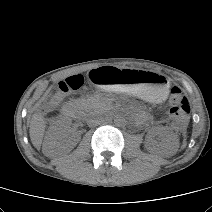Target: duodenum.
Segmentation results:
<instances>
[{"label": "duodenum", "instance_id": "obj_1", "mask_svg": "<svg viewBox=\"0 0 212 212\" xmlns=\"http://www.w3.org/2000/svg\"><path fill=\"white\" fill-rule=\"evenodd\" d=\"M63 114L68 117V118H75L76 117V112L75 108L73 105H66L63 109Z\"/></svg>", "mask_w": 212, "mask_h": 212}]
</instances>
